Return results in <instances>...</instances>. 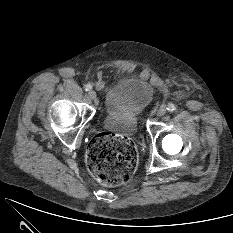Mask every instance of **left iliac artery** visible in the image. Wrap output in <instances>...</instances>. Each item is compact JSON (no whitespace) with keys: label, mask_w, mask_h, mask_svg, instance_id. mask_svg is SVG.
Here are the masks:
<instances>
[{"label":"left iliac artery","mask_w":233,"mask_h":233,"mask_svg":"<svg viewBox=\"0 0 233 233\" xmlns=\"http://www.w3.org/2000/svg\"><path fill=\"white\" fill-rule=\"evenodd\" d=\"M167 110H168L169 112H173V111L176 110V107H175V105H174L173 103H169V104L167 105Z\"/></svg>","instance_id":"1"}]
</instances>
